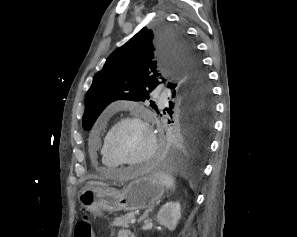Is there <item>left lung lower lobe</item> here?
<instances>
[{
    "mask_svg": "<svg viewBox=\"0 0 297 237\" xmlns=\"http://www.w3.org/2000/svg\"><path fill=\"white\" fill-rule=\"evenodd\" d=\"M173 95L172 91L171 97ZM172 109L176 112L178 126L166 135L159 159L168 167H197L206 154L213 127L212 100L199 107L187 102L177 104L169 101V109L165 111L171 115Z\"/></svg>",
    "mask_w": 297,
    "mask_h": 237,
    "instance_id": "0a47b994",
    "label": "left lung lower lobe"
}]
</instances>
